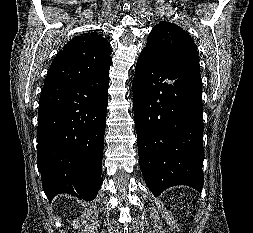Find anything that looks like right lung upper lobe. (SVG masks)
Instances as JSON below:
<instances>
[{
  "instance_id": "cb5924a9",
  "label": "right lung upper lobe",
  "mask_w": 253,
  "mask_h": 233,
  "mask_svg": "<svg viewBox=\"0 0 253 233\" xmlns=\"http://www.w3.org/2000/svg\"><path fill=\"white\" fill-rule=\"evenodd\" d=\"M110 55L109 42L97 32L74 37L58 52L45 83L105 72L110 69Z\"/></svg>"
}]
</instances>
